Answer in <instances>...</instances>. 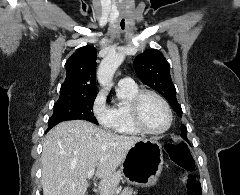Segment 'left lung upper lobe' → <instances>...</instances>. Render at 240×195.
<instances>
[{"instance_id":"5c2ea615","label":"left lung upper lobe","mask_w":240,"mask_h":195,"mask_svg":"<svg viewBox=\"0 0 240 195\" xmlns=\"http://www.w3.org/2000/svg\"><path fill=\"white\" fill-rule=\"evenodd\" d=\"M134 69L141 81L165 97L177 115L182 117V108L177 102L176 89L165 57L156 49L146 50L135 58ZM181 131V136L186 138L185 125H181Z\"/></svg>"}]
</instances>
